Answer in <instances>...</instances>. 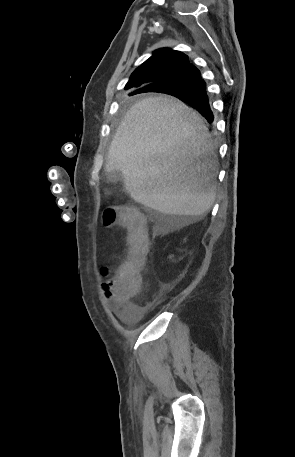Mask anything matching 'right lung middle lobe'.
<instances>
[{
    "label": "right lung middle lobe",
    "mask_w": 295,
    "mask_h": 457,
    "mask_svg": "<svg viewBox=\"0 0 295 457\" xmlns=\"http://www.w3.org/2000/svg\"><path fill=\"white\" fill-rule=\"evenodd\" d=\"M158 92L167 93V94H170V95H173L175 93L174 90H169V89L163 90V91H158ZM132 95H134V94H132Z\"/></svg>",
    "instance_id": "1"
}]
</instances>
